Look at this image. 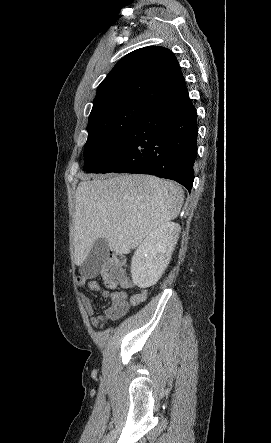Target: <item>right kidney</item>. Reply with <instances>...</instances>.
Wrapping results in <instances>:
<instances>
[{"label":"right kidney","instance_id":"right-kidney-1","mask_svg":"<svg viewBox=\"0 0 271 443\" xmlns=\"http://www.w3.org/2000/svg\"><path fill=\"white\" fill-rule=\"evenodd\" d=\"M180 231L179 223H162L141 241L131 261L132 281L138 287H150L160 279L171 259Z\"/></svg>","mask_w":271,"mask_h":443}]
</instances>
